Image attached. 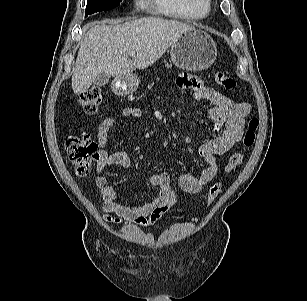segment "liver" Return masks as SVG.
I'll return each instance as SVG.
<instances>
[{
  "instance_id": "obj_1",
  "label": "liver",
  "mask_w": 307,
  "mask_h": 301,
  "mask_svg": "<svg viewBox=\"0 0 307 301\" xmlns=\"http://www.w3.org/2000/svg\"><path fill=\"white\" fill-rule=\"evenodd\" d=\"M192 25L157 17H144L118 25H95L87 31L78 51L72 75L77 95L106 73L123 77L155 63ZM136 52L129 59L130 52Z\"/></svg>"
}]
</instances>
